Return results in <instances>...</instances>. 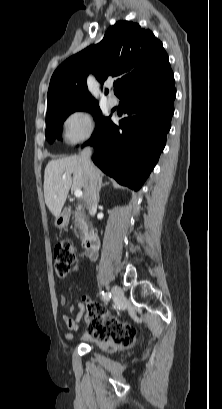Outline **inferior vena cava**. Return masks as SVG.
Wrapping results in <instances>:
<instances>
[{
  "mask_svg": "<svg viewBox=\"0 0 222 409\" xmlns=\"http://www.w3.org/2000/svg\"><path fill=\"white\" fill-rule=\"evenodd\" d=\"M92 148L86 147L82 150L80 158L86 175L84 186V200L90 215L96 213L97 209V189L99 183V174L91 161Z\"/></svg>",
  "mask_w": 222,
  "mask_h": 409,
  "instance_id": "1",
  "label": "inferior vena cava"
}]
</instances>
